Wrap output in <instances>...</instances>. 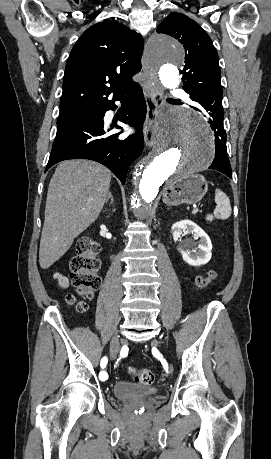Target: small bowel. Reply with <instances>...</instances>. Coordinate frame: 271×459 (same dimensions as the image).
Here are the masks:
<instances>
[{
  "mask_svg": "<svg viewBox=\"0 0 271 459\" xmlns=\"http://www.w3.org/2000/svg\"><path fill=\"white\" fill-rule=\"evenodd\" d=\"M55 278L56 280L58 281V283L62 286V287H67L68 286V280L65 276L59 274V273H56L55 274Z\"/></svg>",
  "mask_w": 271,
  "mask_h": 459,
  "instance_id": "small-bowel-1",
  "label": "small bowel"
}]
</instances>
